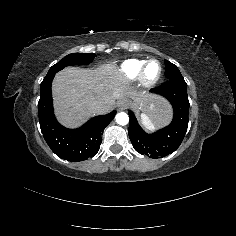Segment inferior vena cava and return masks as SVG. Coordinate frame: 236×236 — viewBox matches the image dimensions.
Wrapping results in <instances>:
<instances>
[{"label": "inferior vena cava", "mask_w": 236, "mask_h": 236, "mask_svg": "<svg viewBox=\"0 0 236 236\" xmlns=\"http://www.w3.org/2000/svg\"><path fill=\"white\" fill-rule=\"evenodd\" d=\"M90 109L93 110L94 112H97L99 109H101L102 107V102L101 101H97L94 100L91 104H90Z\"/></svg>", "instance_id": "inferior-vena-cava-1"}]
</instances>
